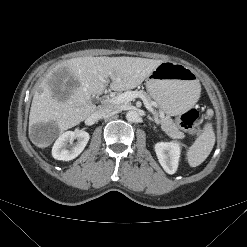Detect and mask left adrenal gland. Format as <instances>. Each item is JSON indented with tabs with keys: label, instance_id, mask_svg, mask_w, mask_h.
I'll return each mask as SVG.
<instances>
[{
	"label": "left adrenal gland",
	"instance_id": "1",
	"mask_svg": "<svg viewBox=\"0 0 247 247\" xmlns=\"http://www.w3.org/2000/svg\"><path fill=\"white\" fill-rule=\"evenodd\" d=\"M147 118L150 120V121H154V119L152 117H150L149 115L147 116Z\"/></svg>",
	"mask_w": 247,
	"mask_h": 247
}]
</instances>
